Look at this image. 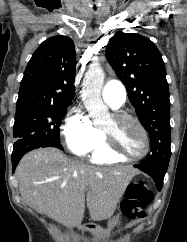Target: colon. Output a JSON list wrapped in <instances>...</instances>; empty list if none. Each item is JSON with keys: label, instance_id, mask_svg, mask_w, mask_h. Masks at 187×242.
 Listing matches in <instances>:
<instances>
[{"label": "colon", "instance_id": "5ec220e1", "mask_svg": "<svg viewBox=\"0 0 187 242\" xmlns=\"http://www.w3.org/2000/svg\"><path fill=\"white\" fill-rule=\"evenodd\" d=\"M153 194L144 181L131 184L122 203V211L129 220L140 219L145 215V208L151 203Z\"/></svg>", "mask_w": 187, "mask_h": 242}]
</instances>
